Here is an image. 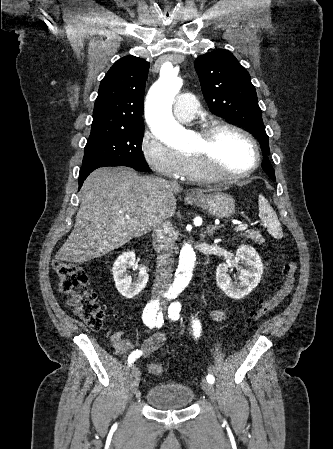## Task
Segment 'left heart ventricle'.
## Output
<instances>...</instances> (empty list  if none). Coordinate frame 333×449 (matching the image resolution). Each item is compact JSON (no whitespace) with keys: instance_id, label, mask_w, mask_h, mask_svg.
<instances>
[{"instance_id":"obj_1","label":"left heart ventricle","mask_w":333,"mask_h":449,"mask_svg":"<svg viewBox=\"0 0 333 449\" xmlns=\"http://www.w3.org/2000/svg\"><path fill=\"white\" fill-rule=\"evenodd\" d=\"M202 140L196 137L190 153L202 148ZM209 164L220 174H236L250 168L255 155L250 143L240 134L233 131H220L211 140L209 148Z\"/></svg>"}]
</instances>
